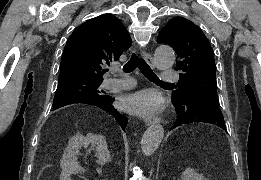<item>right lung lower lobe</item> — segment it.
<instances>
[{"label": "right lung lower lobe", "mask_w": 261, "mask_h": 180, "mask_svg": "<svg viewBox=\"0 0 261 180\" xmlns=\"http://www.w3.org/2000/svg\"><path fill=\"white\" fill-rule=\"evenodd\" d=\"M113 101H114V98H111V97L105 96V95H103L101 98H97L94 100L81 97V98H75V99L69 100L66 103H64L62 106L72 104V103H85V104L99 106L100 108L106 110L111 115H113L115 117V119L117 120V122L119 123V125L121 126V128L123 130H125L128 120L124 115H121L116 109H114V107L112 105Z\"/></svg>", "instance_id": "1"}]
</instances>
